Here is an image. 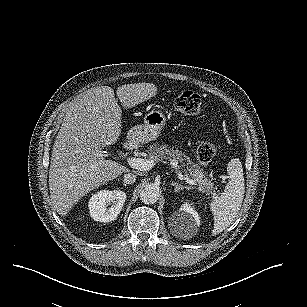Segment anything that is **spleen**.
Masks as SVG:
<instances>
[{
	"instance_id": "spleen-1",
	"label": "spleen",
	"mask_w": 307,
	"mask_h": 307,
	"mask_svg": "<svg viewBox=\"0 0 307 307\" xmlns=\"http://www.w3.org/2000/svg\"><path fill=\"white\" fill-rule=\"evenodd\" d=\"M229 182L222 194L215 197L211 203L214 214L213 234L225 230L237 217L244 198L245 182L242 163L239 158L230 160L227 166Z\"/></svg>"
}]
</instances>
